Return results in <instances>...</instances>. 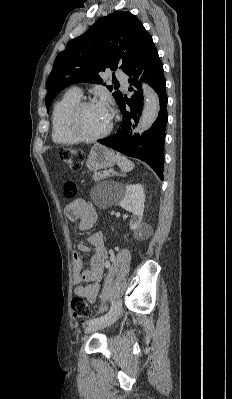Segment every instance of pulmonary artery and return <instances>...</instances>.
I'll use <instances>...</instances> for the list:
<instances>
[{
  "label": "pulmonary artery",
  "mask_w": 232,
  "mask_h": 399,
  "mask_svg": "<svg viewBox=\"0 0 232 399\" xmlns=\"http://www.w3.org/2000/svg\"><path fill=\"white\" fill-rule=\"evenodd\" d=\"M113 74H114V78L116 80H121V82L124 84L126 83V79H123L124 75H123L122 69H114ZM70 88H71L69 90L70 96H78V97L81 96V92H80V90L82 88L81 83H71Z\"/></svg>",
  "instance_id": "pulmonary-artery-1"
}]
</instances>
